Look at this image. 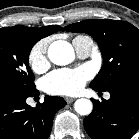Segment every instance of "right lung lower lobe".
<instances>
[{"instance_id": "98d812e1", "label": "right lung lower lobe", "mask_w": 139, "mask_h": 139, "mask_svg": "<svg viewBox=\"0 0 139 139\" xmlns=\"http://www.w3.org/2000/svg\"><path fill=\"white\" fill-rule=\"evenodd\" d=\"M0 88V139H47L55 113L66 105L61 97L46 96L35 108L26 103L38 95Z\"/></svg>"}]
</instances>
